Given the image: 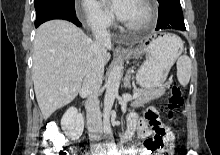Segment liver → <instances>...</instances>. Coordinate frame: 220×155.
<instances>
[{
  "instance_id": "1",
  "label": "liver",
  "mask_w": 220,
  "mask_h": 155,
  "mask_svg": "<svg viewBox=\"0 0 220 155\" xmlns=\"http://www.w3.org/2000/svg\"><path fill=\"white\" fill-rule=\"evenodd\" d=\"M92 43L80 28L64 20L48 21L36 30L32 77L44 119L80 92ZM109 59L106 53V62Z\"/></svg>"
}]
</instances>
